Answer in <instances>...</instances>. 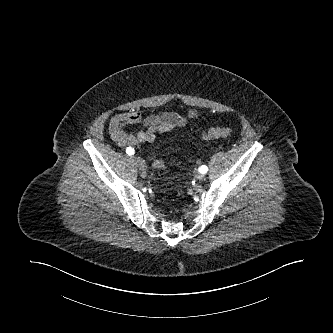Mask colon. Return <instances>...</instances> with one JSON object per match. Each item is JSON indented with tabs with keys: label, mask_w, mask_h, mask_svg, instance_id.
Here are the masks:
<instances>
[{
	"label": "colon",
	"mask_w": 333,
	"mask_h": 333,
	"mask_svg": "<svg viewBox=\"0 0 333 333\" xmlns=\"http://www.w3.org/2000/svg\"><path fill=\"white\" fill-rule=\"evenodd\" d=\"M232 134V131L229 128L224 127H214L205 131L202 135L204 140L218 139V138H226ZM154 165L156 168L160 170L165 169V165L163 161L159 157H154Z\"/></svg>",
	"instance_id": "colon-1"
}]
</instances>
